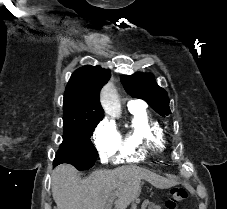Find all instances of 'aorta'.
Instances as JSON below:
<instances>
[{
  "mask_svg": "<svg viewBox=\"0 0 227 209\" xmlns=\"http://www.w3.org/2000/svg\"><path fill=\"white\" fill-rule=\"evenodd\" d=\"M101 102L107 114L118 117L121 114V105L116 90L108 84L101 93Z\"/></svg>",
  "mask_w": 227,
  "mask_h": 209,
  "instance_id": "1",
  "label": "aorta"
}]
</instances>
